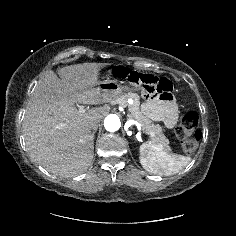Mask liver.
<instances>
[{
	"mask_svg": "<svg viewBox=\"0 0 236 236\" xmlns=\"http://www.w3.org/2000/svg\"><path fill=\"white\" fill-rule=\"evenodd\" d=\"M106 63H82L45 72L32 92L23 120L31 158L54 175L69 177L91 165L94 136L88 124L108 114V106L84 113L75 104H103L108 99L97 88Z\"/></svg>",
	"mask_w": 236,
	"mask_h": 236,
	"instance_id": "6515ba94",
	"label": "liver"
}]
</instances>
